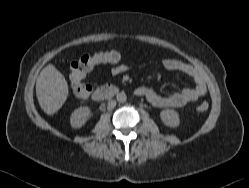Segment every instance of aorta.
<instances>
[{
    "label": "aorta",
    "instance_id": "1",
    "mask_svg": "<svg viewBox=\"0 0 249 188\" xmlns=\"http://www.w3.org/2000/svg\"><path fill=\"white\" fill-rule=\"evenodd\" d=\"M116 99L119 103H124L127 100V95L125 92H119L116 95Z\"/></svg>",
    "mask_w": 249,
    "mask_h": 188
}]
</instances>
